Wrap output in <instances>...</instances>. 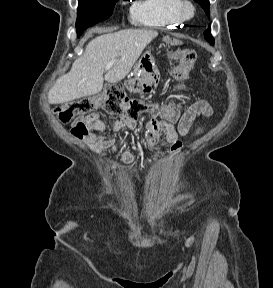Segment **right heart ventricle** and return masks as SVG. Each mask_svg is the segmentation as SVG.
Returning <instances> with one entry per match:
<instances>
[{
    "label": "right heart ventricle",
    "mask_w": 273,
    "mask_h": 288,
    "mask_svg": "<svg viewBox=\"0 0 273 288\" xmlns=\"http://www.w3.org/2000/svg\"><path fill=\"white\" fill-rule=\"evenodd\" d=\"M182 0H136L131 19L136 25L172 29L183 23L180 14Z\"/></svg>",
    "instance_id": "right-heart-ventricle-1"
}]
</instances>
